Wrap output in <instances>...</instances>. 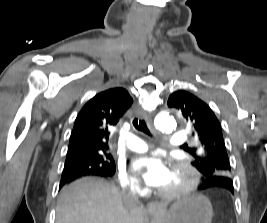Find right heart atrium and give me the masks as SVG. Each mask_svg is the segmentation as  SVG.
Here are the masks:
<instances>
[{
  "label": "right heart atrium",
  "mask_w": 267,
  "mask_h": 223,
  "mask_svg": "<svg viewBox=\"0 0 267 223\" xmlns=\"http://www.w3.org/2000/svg\"><path fill=\"white\" fill-rule=\"evenodd\" d=\"M117 180L121 187L131 194H138L141 191L139 182L123 166L117 169Z\"/></svg>",
  "instance_id": "obj_1"
}]
</instances>
